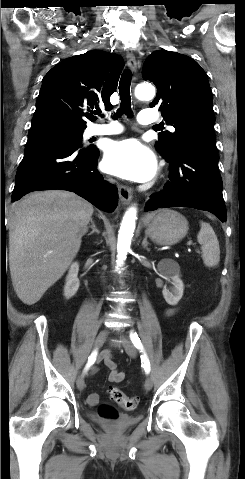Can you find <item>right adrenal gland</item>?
<instances>
[{
	"label": "right adrenal gland",
	"mask_w": 245,
	"mask_h": 479,
	"mask_svg": "<svg viewBox=\"0 0 245 479\" xmlns=\"http://www.w3.org/2000/svg\"><path fill=\"white\" fill-rule=\"evenodd\" d=\"M90 227H91L92 231L90 233H88V235H92L94 233H97V234L100 233V231L97 229V227H96V225H95V223L92 219H91V226Z\"/></svg>",
	"instance_id": "2a0ac1e0"
}]
</instances>
